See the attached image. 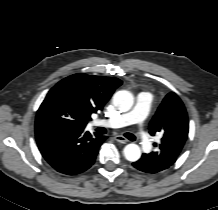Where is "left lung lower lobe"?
I'll return each instance as SVG.
<instances>
[{
    "label": "left lung lower lobe",
    "mask_w": 218,
    "mask_h": 210,
    "mask_svg": "<svg viewBox=\"0 0 218 210\" xmlns=\"http://www.w3.org/2000/svg\"><path fill=\"white\" fill-rule=\"evenodd\" d=\"M174 162L172 157H162L156 152H151L144 153L138 161L133 163V166L143 172L157 173L169 168Z\"/></svg>",
    "instance_id": "0a47b994"
}]
</instances>
